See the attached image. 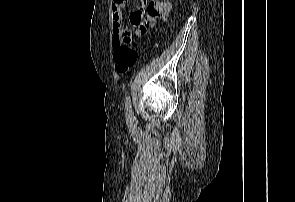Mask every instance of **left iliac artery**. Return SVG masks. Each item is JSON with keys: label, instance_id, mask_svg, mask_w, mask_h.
<instances>
[{"label": "left iliac artery", "instance_id": "1", "mask_svg": "<svg viewBox=\"0 0 295 202\" xmlns=\"http://www.w3.org/2000/svg\"><path fill=\"white\" fill-rule=\"evenodd\" d=\"M125 112H126V118L128 120H133L134 119L130 96H127V98L125 100Z\"/></svg>", "mask_w": 295, "mask_h": 202}]
</instances>
